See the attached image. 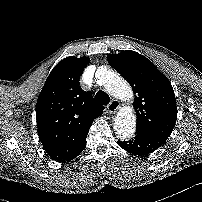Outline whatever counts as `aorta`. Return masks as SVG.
I'll use <instances>...</instances> for the list:
<instances>
[{
    "label": "aorta",
    "mask_w": 202,
    "mask_h": 202,
    "mask_svg": "<svg viewBox=\"0 0 202 202\" xmlns=\"http://www.w3.org/2000/svg\"><path fill=\"white\" fill-rule=\"evenodd\" d=\"M96 79L105 90L121 100H129L133 96L130 85L116 73L106 67H100L96 71ZM136 118L131 108L122 109L115 118L114 131L118 138L129 139L134 135Z\"/></svg>",
    "instance_id": "762f6f07"
}]
</instances>
